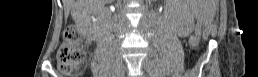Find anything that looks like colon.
I'll use <instances>...</instances> for the list:
<instances>
[{
	"instance_id": "obj_1",
	"label": "colon",
	"mask_w": 258,
	"mask_h": 77,
	"mask_svg": "<svg viewBox=\"0 0 258 77\" xmlns=\"http://www.w3.org/2000/svg\"><path fill=\"white\" fill-rule=\"evenodd\" d=\"M84 59L85 54L81 47L79 33L74 26H70L66 29L64 40L57 51L59 69L69 73L78 68Z\"/></svg>"
}]
</instances>
